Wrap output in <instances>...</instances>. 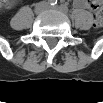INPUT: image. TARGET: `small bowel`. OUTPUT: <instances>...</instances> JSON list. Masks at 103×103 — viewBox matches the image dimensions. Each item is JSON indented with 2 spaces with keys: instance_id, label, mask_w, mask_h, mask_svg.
<instances>
[{
  "instance_id": "1",
  "label": "small bowel",
  "mask_w": 103,
  "mask_h": 103,
  "mask_svg": "<svg viewBox=\"0 0 103 103\" xmlns=\"http://www.w3.org/2000/svg\"><path fill=\"white\" fill-rule=\"evenodd\" d=\"M76 6L82 7V8H89V3L87 1L84 0H79L75 2ZM10 5L9 2H5L4 6L8 7Z\"/></svg>"
}]
</instances>
